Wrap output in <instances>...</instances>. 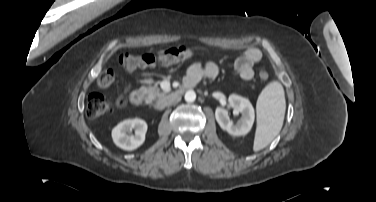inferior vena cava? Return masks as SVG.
<instances>
[{
    "instance_id": "1",
    "label": "inferior vena cava",
    "mask_w": 376,
    "mask_h": 202,
    "mask_svg": "<svg viewBox=\"0 0 376 202\" xmlns=\"http://www.w3.org/2000/svg\"><path fill=\"white\" fill-rule=\"evenodd\" d=\"M179 100H180L179 97H175V98H173V99H171V100L168 101V105H172V104L178 102Z\"/></svg>"
}]
</instances>
